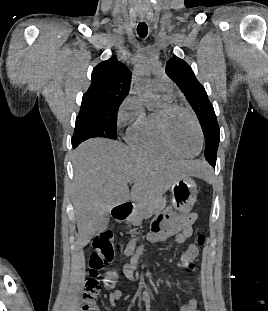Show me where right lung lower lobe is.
Segmentation results:
<instances>
[{"label": "right lung lower lobe", "instance_id": "right-lung-lower-lobe-1", "mask_svg": "<svg viewBox=\"0 0 268 311\" xmlns=\"http://www.w3.org/2000/svg\"><path fill=\"white\" fill-rule=\"evenodd\" d=\"M80 143L81 141H72L73 148H76Z\"/></svg>", "mask_w": 268, "mask_h": 311}]
</instances>
